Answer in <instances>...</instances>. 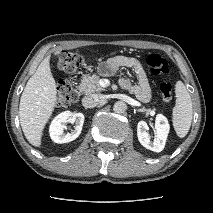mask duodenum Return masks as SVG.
Returning <instances> with one entry per match:
<instances>
[{
    "instance_id": "duodenum-1",
    "label": "duodenum",
    "mask_w": 213,
    "mask_h": 213,
    "mask_svg": "<svg viewBox=\"0 0 213 213\" xmlns=\"http://www.w3.org/2000/svg\"><path fill=\"white\" fill-rule=\"evenodd\" d=\"M79 91H80V93L82 92V90H81V89H79Z\"/></svg>"
}]
</instances>
